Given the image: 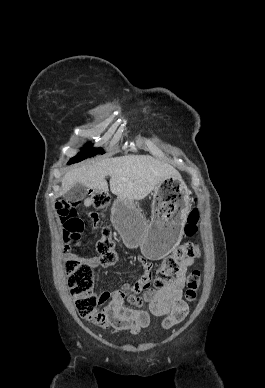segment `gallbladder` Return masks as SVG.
Wrapping results in <instances>:
<instances>
[{
  "mask_svg": "<svg viewBox=\"0 0 265 388\" xmlns=\"http://www.w3.org/2000/svg\"><path fill=\"white\" fill-rule=\"evenodd\" d=\"M86 194V186H83V184H75V186L65 194L64 198L66 202H80V200L85 198Z\"/></svg>",
  "mask_w": 265,
  "mask_h": 388,
  "instance_id": "gallbladder-1",
  "label": "gallbladder"
}]
</instances>
